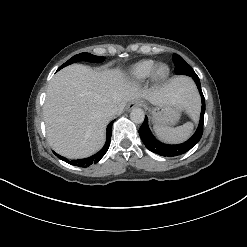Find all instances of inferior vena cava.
Segmentation results:
<instances>
[{
	"label": "inferior vena cava",
	"mask_w": 247,
	"mask_h": 247,
	"mask_svg": "<svg viewBox=\"0 0 247 247\" xmlns=\"http://www.w3.org/2000/svg\"><path fill=\"white\" fill-rule=\"evenodd\" d=\"M118 113V108L117 107H109L105 110V116L111 118L115 114Z\"/></svg>",
	"instance_id": "inferior-vena-cava-1"
}]
</instances>
